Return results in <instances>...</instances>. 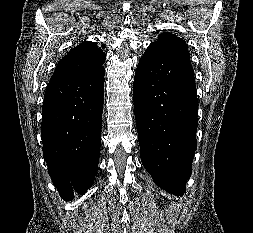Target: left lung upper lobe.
I'll return each mask as SVG.
<instances>
[{"mask_svg": "<svg viewBox=\"0 0 253 233\" xmlns=\"http://www.w3.org/2000/svg\"><path fill=\"white\" fill-rule=\"evenodd\" d=\"M152 44L189 56L186 42L170 33H161L158 40Z\"/></svg>", "mask_w": 253, "mask_h": 233, "instance_id": "obj_1", "label": "left lung upper lobe"}]
</instances>
